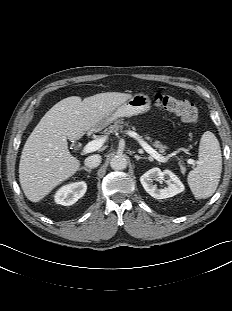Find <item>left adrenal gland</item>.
Listing matches in <instances>:
<instances>
[{
	"mask_svg": "<svg viewBox=\"0 0 232 311\" xmlns=\"http://www.w3.org/2000/svg\"><path fill=\"white\" fill-rule=\"evenodd\" d=\"M134 157L136 158V160L147 159V157H141V156H139L137 154H135Z\"/></svg>",
	"mask_w": 232,
	"mask_h": 311,
	"instance_id": "obj_1",
	"label": "left adrenal gland"
}]
</instances>
